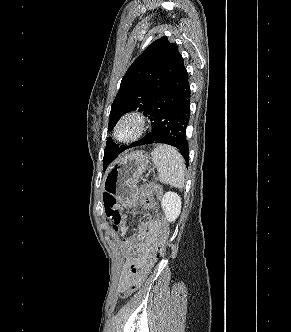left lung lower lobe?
Masks as SVG:
<instances>
[{
    "label": "left lung lower lobe",
    "mask_w": 291,
    "mask_h": 332,
    "mask_svg": "<svg viewBox=\"0 0 291 332\" xmlns=\"http://www.w3.org/2000/svg\"><path fill=\"white\" fill-rule=\"evenodd\" d=\"M190 85L188 73L183 60L180 61L174 74L155 97L146 113L152 121V130L143 139L131 145L121 147L113 159L126 148L148 143H164L180 150L183 159L188 163L189 148L186 139V128L190 119ZM104 168V169H105Z\"/></svg>",
    "instance_id": "left-lung-lower-lobe-1"
}]
</instances>
